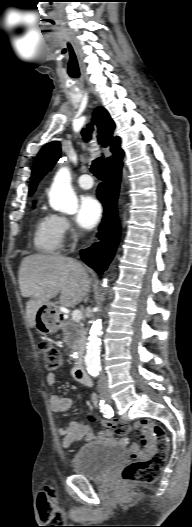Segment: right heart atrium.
<instances>
[{
	"label": "right heart atrium",
	"instance_id": "obj_1",
	"mask_svg": "<svg viewBox=\"0 0 192 527\" xmlns=\"http://www.w3.org/2000/svg\"><path fill=\"white\" fill-rule=\"evenodd\" d=\"M59 229L62 233L63 238L71 235L72 226L68 218L63 216H56Z\"/></svg>",
	"mask_w": 192,
	"mask_h": 527
}]
</instances>
